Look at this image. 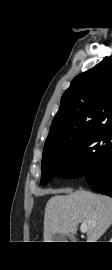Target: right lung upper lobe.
I'll list each match as a JSON object with an SVG mask.
<instances>
[{
	"label": "right lung upper lobe",
	"mask_w": 112,
	"mask_h": 270,
	"mask_svg": "<svg viewBox=\"0 0 112 270\" xmlns=\"http://www.w3.org/2000/svg\"><path fill=\"white\" fill-rule=\"evenodd\" d=\"M112 125V55L76 76L61 98L44 148Z\"/></svg>",
	"instance_id": "cb5924a9"
}]
</instances>
